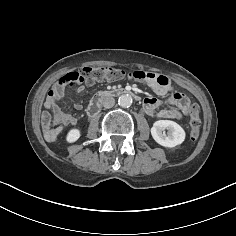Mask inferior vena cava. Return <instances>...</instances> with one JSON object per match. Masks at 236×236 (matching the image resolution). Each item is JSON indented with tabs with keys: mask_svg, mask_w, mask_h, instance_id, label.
<instances>
[{
	"mask_svg": "<svg viewBox=\"0 0 236 236\" xmlns=\"http://www.w3.org/2000/svg\"><path fill=\"white\" fill-rule=\"evenodd\" d=\"M102 104L107 109L112 108L115 104V99L113 97H105Z\"/></svg>",
	"mask_w": 236,
	"mask_h": 236,
	"instance_id": "obj_1",
	"label": "inferior vena cava"
}]
</instances>
